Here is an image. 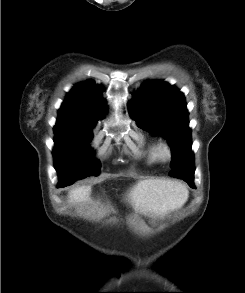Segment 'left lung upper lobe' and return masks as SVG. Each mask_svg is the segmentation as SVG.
I'll return each instance as SVG.
<instances>
[{
    "instance_id": "left-lung-upper-lobe-1",
    "label": "left lung upper lobe",
    "mask_w": 245,
    "mask_h": 293,
    "mask_svg": "<svg viewBox=\"0 0 245 293\" xmlns=\"http://www.w3.org/2000/svg\"><path fill=\"white\" fill-rule=\"evenodd\" d=\"M130 115L140 128L160 133L172 150L169 175L181 178L194 176V154L191 150V129L183 93L162 81L146 82L139 95L129 101Z\"/></svg>"
}]
</instances>
